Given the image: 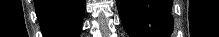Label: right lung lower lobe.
Instances as JSON below:
<instances>
[{"mask_svg": "<svg viewBox=\"0 0 219 37\" xmlns=\"http://www.w3.org/2000/svg\"><path fill=\"white\" fill-rule=\"evenodd\" d=\"M36 14L46 37H77L85 11L84 0H35Z\"/></svg>", "mask_w": 219, "mask_h": 37, "instance_id": "1", "label": "right lung lower lobe"}]
</instances>
